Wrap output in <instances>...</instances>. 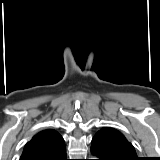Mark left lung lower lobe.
<instances>
[{
	"mask_svg": "<svg viewBox=\"0 0 160 160\" xmlns=\"http://www.w3.org/2000/svg\"><path fill=\"white\" fill-rule=\"evenodd\" d=\"M91 152L97 157L96 160H124L120 155L112 151L106 141L97 134L92 138Z\"/></svg>",
	"mask_w": 160,
	"mask_h": 160,
	"instance_id": "left-lung-lower-lobe-1",
	"label": "left lung lower lobe"
}]
</instances>
